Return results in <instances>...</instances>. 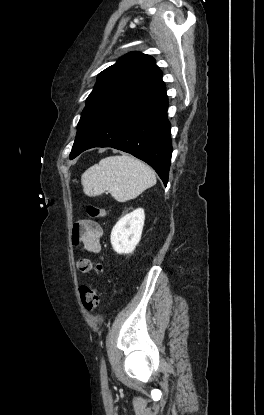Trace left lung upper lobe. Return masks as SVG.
Listing matches in <instances>:
<instances>
[{
	"label": "left lung upper lobe",
	"mask_w": 264,
	"mask_h": 415,
	"mask_svg": "<svg viewBox=\"0 0 264 415\" xmlns=\"http://www.w3.org/2000/svg\"><path fill=\"white\" fill-rule=\"evenodd\" d=\"M162 80V72L155 60L146 54L132 52L103 70L77 125V135L70 159L86 139L100 117L123 99L135 95Z\"/></svg>",
	"instance_id": "obj_1"
}]
</instances>
